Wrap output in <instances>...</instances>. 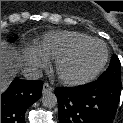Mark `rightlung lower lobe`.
<instances>
[{
  "label": "right lung lower lobe",
  "mask_w": 123,
  "mask_h": 123,
  "mask_svg": "<svg viewBox=\"0 0 123 123\" xmlns=\"http://www.w3.org/2000/svg\"><path fill=\"white\" fill-rule=\"evenodd\" d=\"M42 81L15 79L1 95V123H25V112L42 94Z\"/></svg>",
  "instance_id": "1"
}]
</instances>
